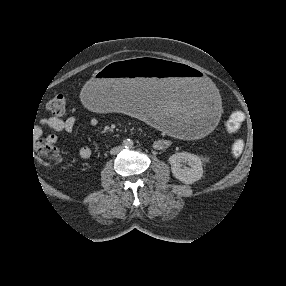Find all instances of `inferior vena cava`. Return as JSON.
<instances>
[{
    "label": "inferior vena cava",
    "mask_w": 286,
    "mask_h": 286,
    "mask_svg": "<svg viewBox=\"0 0 286 286\" xmlns=\"http://www.w3.org/2000/svg\"><path fill=\"white\" fill-rule=\"evenodd\" d=\"M121 150H122L121 146L114 147L113 149H111L110 154L115 155V154L119 153Z\"/></svg>",
    "instance_id": "obj_1"
}]
</instances>
